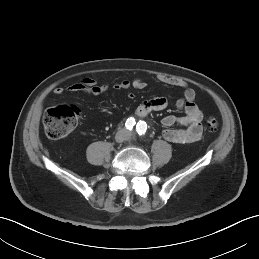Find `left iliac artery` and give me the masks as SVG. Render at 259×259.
<instances>
[{
    "mask_svg": "<svg viewBox=\"0 0 259 259\" xmlns=\"http://www.w3.org/2000/svg\"><path fill=\"white\" fill-rule=\"evenodd\" d=\"M139 135L145 134L147 130V124L144 121H139L136 126Z\"/></svg>",
    "mask_w": 259,
    "mask_h": 259,
    "instance_id": "44dca946",
    "label": "left iliac artery"
}]
</instances>
